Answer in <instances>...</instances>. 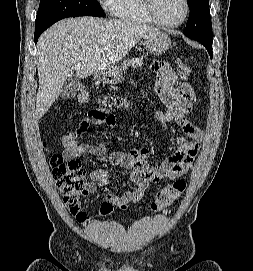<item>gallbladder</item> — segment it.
Returning <instances> with one entry per match:
<instances>
[{"label": "gallbladder", "instance_id": "bac80fb5", "mask_svg": "<svg viewBox=\"0 0 253 271\" xmlns=\"http://www.w3.org/2000/svg\"><path fill=\"white\" fill-rule=\"evenodd\" d=\"M81 81L80 78L73 75L66 79L64 85L62 86L60 96L62 99H70L76 96L80 90Z\"/></svg>", "mask_w": 253, "mask_h": 271}]
</instances>
